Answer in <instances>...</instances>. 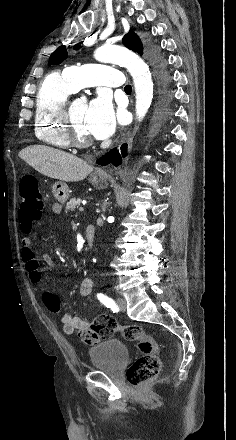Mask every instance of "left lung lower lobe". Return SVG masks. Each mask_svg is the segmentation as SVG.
<instances>
[{
    "label": "left lung lower lobe",
    "instance_id": "0a47b994",
    "mask_svg": "<svg viewBox=\"0 0 236 440\" xmlns=\"http://www.w3.org/2000/svg\"><path fill=\"white\" fill-rule=\"evenodd\" d=\"M126 150H127V144H123L121 146V154L119 153L117 148H114V149L110 150L109 152H107L105 155H103L97 161V163L101 164V165H107L109 163H113L115 166H118L122 162L121 155L123 157H125L127 155Z\"/></svg>",
    "mask_w": 236,
    "mask_h": 440
}]
</instances>
